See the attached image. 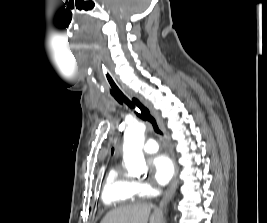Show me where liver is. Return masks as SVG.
I'll return each mask as SVG.
<instances>
[{
  "label": "liver",
  "mask_w": 267,
  "mask_h": 223,
  "mask_svg": "<svg viewBox=\"0 0 267 223\" xmlns=\"http://www.w3.org/2000/svg\"><path fill=\"white\" fill-rule=\"evenodd\" d=\"M151 208L152 205L148 203L120 206L108 212L101 223H159L161 211L150 215Z\"/></svg>",
  "instance_id": "1"
}]
</instances>
